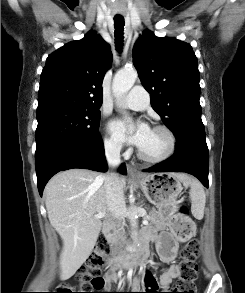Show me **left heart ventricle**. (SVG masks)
Masks as SVG:
<instances>
[{
    "instance_id": "1",
    "label": "left heart ventricle",
    "mask_w": 245,
    "mask_h": 293,
    "mask_svg": "<svg viewBox=\"0 0 245 293\" xmlns=\"http://www.w3.org/2000/svg\"><path fill=\"white\" fill-rule=\"evenodd\" d=\"M168 148V138L161 131L151 130L140 150L147 156L156 157L162 155Z\"/></svg>"
}]
</instances>
